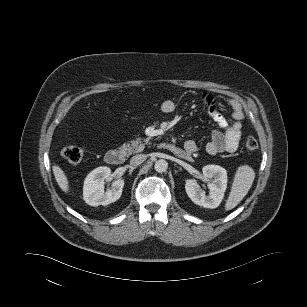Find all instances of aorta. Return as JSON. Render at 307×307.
<instances>
[{"mask_svg": "<svg viewBox=\"0 0 307 307\" xmlns=\"http://www.w3.org/2000/svg\"><path fill=\"white\" fill-rule=\"evenodd\" d=\"M168 168V163L166 160L164 159H159L155 162V165H154V169L159 172V173H162V172H165Z\"/></svg>", "mask_w": 307, "mask_h": 307, "instance_id": "aorta-1", "label": "aorta"}]
</instances>
